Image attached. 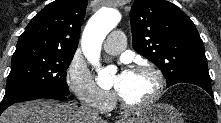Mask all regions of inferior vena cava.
<instances>
[{
	"mask_svg": "<svg viewBox=\"0 0 221 123\" xmlns=\"http://www.w3.org/2000/svg\"><path fill=\"white\" fill-rule=\"evenodd\" d=\"M82 110L89 116L96 118L98 117V114L94 112L90 107L88 106H82Z\"/></svg>",
	"mask_w": 221,
	"mask_h": 123,
	"instance_id": "obj_1",
	"label": "inferior vena cava"
}]
</instances>
